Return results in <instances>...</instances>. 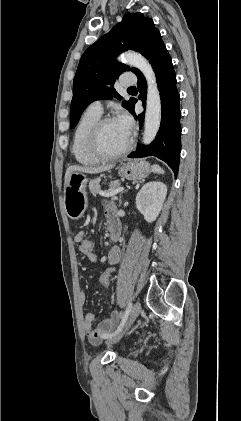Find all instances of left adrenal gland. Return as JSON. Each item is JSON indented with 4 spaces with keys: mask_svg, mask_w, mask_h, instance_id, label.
Here are the masks:
<instances>
[{
    "mask_svg": "<svg viewBox=\"0 0 241 421\" xmlns=\"http://www.w3.org/2000/svg\"><path fill=\"white\" fill-rule=\"evenodd\" d=\"M128 189H130V187H128ZM128 189H126V190H124L120 195H119V204H118V206H121V204H122V194L123 193H125V192H127L128 191Z\"/></svg>",
    "mask_w": 241,
    "mask_h": 421,
    "instance_id": "obj_1",
    "label": "left adrenal gland"
}]
</instances>
